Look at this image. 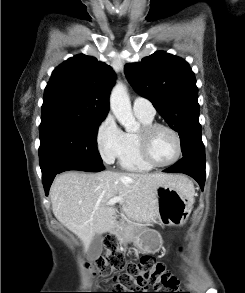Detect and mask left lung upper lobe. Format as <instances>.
I'll return each instance as SVG.
<instances>
[{"label": "left lung upper lobe", "mask_w": 245, "mask_h": 293, "mask_svg": "<svg viewBox=\"0 0 245 293\" xmlns=\"http://www.w3.org/2000/svg\"><path fill=\"white\" fill-rule=\"evenodd\" d=\"M124 70L133 88L149 99L168 125L179 133L183 157L205 161L198 89L189 64L159 51L141 62L126 64Z\"/></svg>", "instance_id": "5c2ea615"}]
</instances>
